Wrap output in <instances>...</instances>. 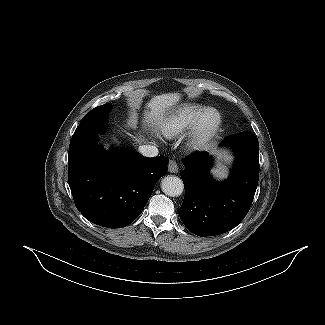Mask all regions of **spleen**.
I'll return each instance as SVG.
<instances>
[{
	"label": "spleen",
	"mask_w": 325,
	"mask_h": 325,
	"mask_svg": "<svg viewBox=\"0 0 325 325\" xmlns=\"http://www.w3.org/2000/svg\"><path fill=\"white\" fill-rule=\"evenodd\" d=\"M225 161V159H224ZM212 173L214 176L218 177V178H226L228 175V171H227V167L224 163L218 161V165L217 168L212 170Z\"/></svg>",
	"instance_id": "3e777b00"
}]
</instances>
